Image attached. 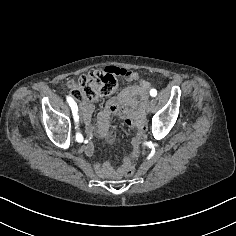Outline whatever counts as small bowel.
I'll return each instance as SVG.
<instances>
[{
    "mask_svg": "<svg viewBox=\"0 0 236 236\" xmlns=\"http://www.w3.org/2000/svg\"><path fill=\"white\" fill-rule=\"evenodd\" d=\"M123 70L126 73L122 76L123 78L128 81H137L138 83L125 87L107 101L103 110L98 114L97 125L95 127L91 123L94 106L89 102H82L80 105L85 131L88 136L84 146V152L87 155H92L94 152V146L91 142L94 134L106 144L113 143L114 136L110 132V118L115 114L119 115L128 127L135 130L136 137L132 141L134 149L131 156L135 157L139 153L142 137L146 129L144 107L150 83L141 80L139 73L135 71ZM126 161L128 162V159ZM94 170L101 177L115 178L119 176L122 168H116L110 163H96Z\"/></svg>",
    "mask_w": 236,
    "mask_h": 236,
    "instance_id": "c3829d8e",
    "label": "small bowel"
}]
</instances>
